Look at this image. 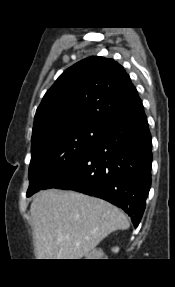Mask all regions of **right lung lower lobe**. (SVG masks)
<instances>
[{"label":"right lung lower lobe","instance_id":"1","mask_svg":"<svg viewBox=\"0 0 175 287\" xmlns=\"http://www.w3.org/2000/svg\"><path fill=\"white\" fill-rule=\"evenodd\" d=\"M152 141L143 106L110 123L100 141L42 189L59 188L99 197L123 209L135 227L151 185Z\"/></svg>","mask_w":175,"mask_h":287}]
</instances>
